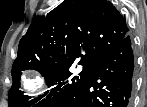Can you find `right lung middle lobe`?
I'll use <instances>...</instances> for the list:
<instances>
[{"label":"right lung middle lobe","mask_w":147,"mask_h":107,"mask_svg":"<svg viewBox=\"0 0 147 107\" xmlns=\"http://www.w3.org/2000/svg\"><path fill=\"white\" fill-rule=\"evenodd\" d=\"M69 66L44 69L36 68L35 64L29 63L24 67L12 69L13 85L9 91V106L11 107H55L61 100L79 88L91 75L94 67L83 65V70L78 76L69 71ZM35 69L41 72L48 86H54L41 97L30 100L31 97L24 95L19 90L21 71Z\"/></svg>","instance_id":"1"}]
</instances>
